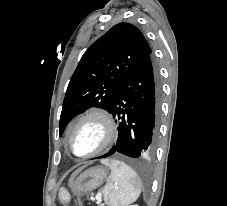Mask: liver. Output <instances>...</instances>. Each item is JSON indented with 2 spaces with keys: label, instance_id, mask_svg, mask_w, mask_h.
<instances>
[{
  "label": "liver",
  "instance_id": "6515ba94",
  "mask_svg": "<svg viewBox=\"0 0 227 206\" xmlns=\"http://www.w3.org/2000/svg\"><path fill=\"white\" fill-rule=\"evenodd\" d=\"M83 168H80V169H78L77 171H75L73 174H72V176H71V178H70V184H72L73 183V181H74V178L78 175V173L82 170Z\"/></svg>",
  "mask_w": 227,
  "mask_h": 206
}]
</instances>
